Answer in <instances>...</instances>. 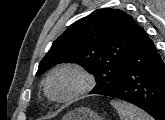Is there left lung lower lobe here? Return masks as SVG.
<instances>
[{"label": "left lung lower lobe", "mask_w": 165, "mask_h": 120, "mask_svg": "<svg viewBox=\"0 0 165 120\" xmlns=\"http://www.w3.org/2000/svg\"><path fill=\"white\" fill-rule=\"evenodd\" d=\"M106 95L140 107L155 120H165V66L146 33L129 53L120 85Z\"/></svg>", "instance_id": "1"}]
</instances>
